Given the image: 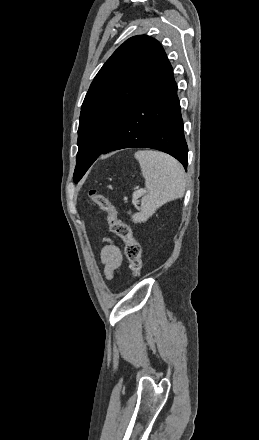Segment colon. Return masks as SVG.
<instances>
[{"label": "colon", "mask_w": 259, "mask_h": 440, "mask_svg": "<svg viewBox=\"0 0 259 440\" xmlns=\"http://www.w3.org/2000/svg\"><path fill=\"white\" fill-rule=\"evenodd\" d=\"M88 197L106 213L110 231L118 236L125 245V256L129 262L130 270L134 275H139L142 268V248L135 239L132 229L118 218L115 207L104 195L99 194L96 190H90Z\"/></svg>", "instance_id": "5ec220e1"}]
</instances>
